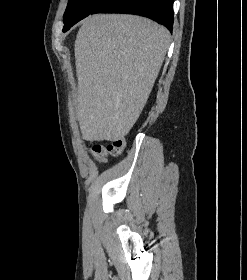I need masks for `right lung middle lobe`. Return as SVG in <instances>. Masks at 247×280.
<instances>
[{
    "label": "right lung middle lobe",
    "mask_w": 247,
    "mask_h": 280,
    "mask_svg": "<svg viewBox=\"0 0 247 280\" xmlns=\"http://www.w3.org/2000/svg\"><path fill=\"white\" fill-rule=\"evenodd\" d=\"M104 1L105 0H69L64 13V30L73 26L89 14H93L96 8Z\"/></svg>",
    "instance_id": "1"
}]
</instances>
